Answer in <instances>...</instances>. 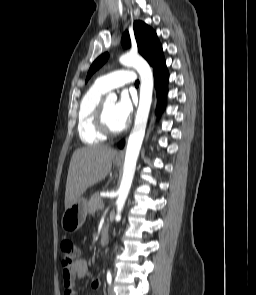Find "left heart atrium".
Here are the masks:
<instances>
[{
    "mask_svg": "<svg viewBox=\"0 0 256 295\" xmlns=\"http://www.w3.org/2000/svg\"><path fill=\"white\" fill-rule=\"evenodd\" d=\"M133 111V103L127 92H123L119 101L115 105V117L119 124L124 127L132 114Z\"/></svg>",
    "mask_w": 256,
    "mask_h": 295,
    "instance_id": "left-heart-atrium-1",
    "label": "left heart atrium"
}]
</instances>
